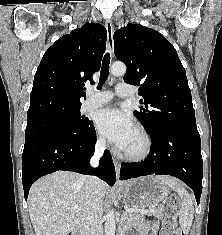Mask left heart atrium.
<instances>
[{
    "label": "left heart atrium",
    "instance_id": "left-heart-atrium-1",
    "mask_svg": "<svg viewBox=\"0 0 222 235\" xmlns=\"http://www.w3.org/2000/svg\"><path fill=\"white\" fill-rule=\"evenodd\" d=\"M98 131L118 149L124 150L136 131L131 116L116 108H104L96 115Z\"/></svg>",
    "mask_w": 222,
    "mask_h": 235
}]
</instances>
